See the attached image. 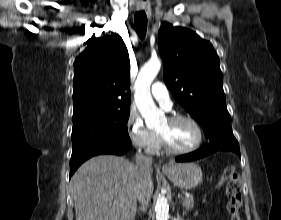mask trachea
Here are the masks:
<instances>
[{
  "instance_id": "trachea-1",
  "label": "trachea",
  "mask_w": 281,
  "mask_h": 220,
  "mask_svg": "<svg viewBox=\"0 0 281 220\" xmlns=\"http://www.w3.org/2000/svg\"><path fill=\"white\" fill-rule=\"evenodd\" d=\"M134 26L138 36L141 39L145 38L147 30V17L145 12H137L134 17Z\"/></svg>"
}]
</instances>
